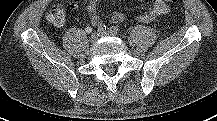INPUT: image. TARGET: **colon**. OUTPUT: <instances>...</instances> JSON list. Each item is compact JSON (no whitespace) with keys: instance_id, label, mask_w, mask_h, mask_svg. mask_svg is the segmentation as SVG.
<instances>
[{"instance_id":"obj_1","label":"colon","mask_w":217,"mask_h":121,"mask_svg":"<svg viewBox=\"0 0 217 121\" xmlns=\"http://www.w3.org/2000/svg\"><path fill=\"white\" fill-rule=\"evenodd\" d=\"M169 3H175L178 0H166ZM48 21L56 26L61 27L66 23L67 19V10L63 5H56L52 7L47 14Z\"/></svg>"}]
</instances>
